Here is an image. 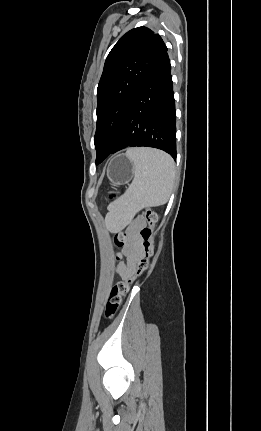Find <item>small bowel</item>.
<instances>
[{"label": "small bowel", "mask_w": 261, "mask_h": 431, "mask_svg": "<svg viewBox=\"0 0 261 431\" xmlns=\"http://www.w3.org/2000/svg\"><path fill=\"white\" fill-rule=\"evenodd\" d=\"M145 222L142 217H137L129 226L127 233L129 236V242L125 248V254L127 261L125 264L119 265L117 272L118 274L126 278L131 275L135 270V263L141 255V235L140 231L144 227Z\"/></svg>", "instance_id": "small-bowel-1"}]
</instances>
